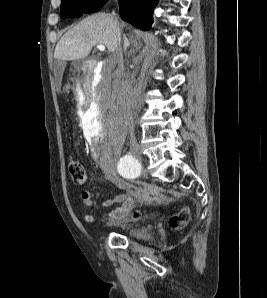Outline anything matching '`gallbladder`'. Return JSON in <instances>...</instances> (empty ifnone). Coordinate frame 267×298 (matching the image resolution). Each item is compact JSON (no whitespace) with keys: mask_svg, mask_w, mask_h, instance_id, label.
<instances>
[{"mask_svg":"<svg viewBox=\"0 0 267 298\" xmlns=\"http://www.w3.org/2000/svg\"><path fill=\"white\" fill-rule=\"evenodd\" d=\"M56 65H61V66H64V63H62V62L58 61V62L56 63ZM55 73H60V70H59V69H57V68H55Z\"/></svg>","mask_w":267,"mask_h":298,"instance_id":"bac80fb5","label":"gallbladder"}]
</instances>
